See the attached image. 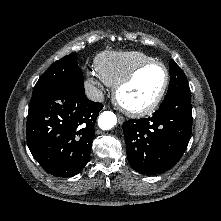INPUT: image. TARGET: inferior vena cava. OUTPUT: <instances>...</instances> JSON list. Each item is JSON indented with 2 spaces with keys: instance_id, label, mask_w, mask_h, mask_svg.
Here are the masks:
<instances>
[{
  "instance_id": "602c4592",
  "label": "inferior vena cava",
  "mask_w": 221,
  "mask_h": 221,
  "mask_svg": "<svg viewBox=\"0 0 221 221\" xmlns=\"http://www.w3.org/2000/svg\"><path fill=\"white\" fill-rule=\"evenodd\" d=\"M86 95L88 99L95 102H101L104 99L103 92L94 86H90L86 89Z\"/></svg>"
}]
</instances>
